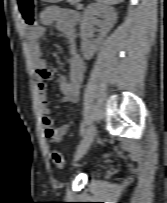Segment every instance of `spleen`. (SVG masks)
<instances>
[{
  "label": "spleen",
  "instance_id": "3e777b00",
  "mask_svg": "<svg viewBox=\"0 0 167 203\" xmlns=\"http://www.w3.org/2000/svg\"><path fill=\"white\" fill-rule=\"evenodd\" d=\"M97 1L103 5H115L123 2V0H97Z\"/></svg>",
  "mask_w": 167,
  "mask_h": 203
}]
</instances>
